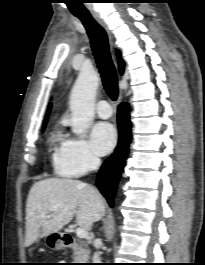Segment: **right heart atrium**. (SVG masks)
<instances>
[{
	"label": "right heart atrium",
	"mask_w": 205,
	"mask_h": 265,
	"mask_svg": "<svg viewBox=\"0 0 205 265\" xmlns=\"http://www.w3.org/2000/svg\"><path fill=\"white\" fill-rule=\"evenodd\" d=\"M99 164L84 137L70 136L63 140L57 171L69 176H82Z\"/></svg>",
	"instance_id": "1"
}]
</instances>
